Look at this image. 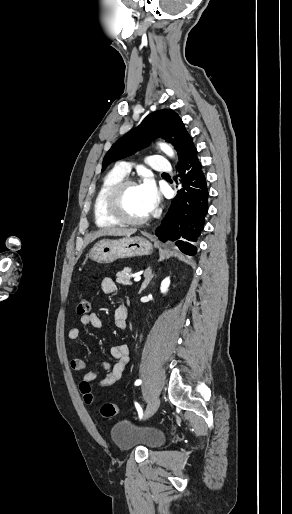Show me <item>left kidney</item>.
I'll use <instances>...</instances> for the list:
<instances>
[{
	"mask_svg": "<svg viewBox=\"0 0 292 514\" xmlns=\"http://www.w3.org/2000/svg\"><path fill=\"white\" fill-rule=\"evenodd\" d=\"M170 286V278H165V280H163L162 284H161V292L162 294H166V292H168V288Z\"/></svg>",
	"mask_w": 292,
	"mask_h": 514,
	"instance_id": "left-kidney-1",
	"label": "left kidney"
}]
</instances>
